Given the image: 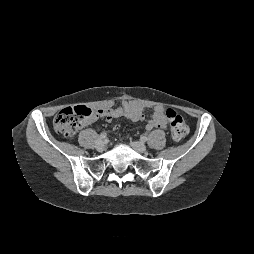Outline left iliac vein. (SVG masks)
I'll return each instance as SVG.
<instances>
[{"label":"left iliac vein","mask_w":254,"mask_h":254,"mask_svg":"<svg viewBox=\"0 0 254 254\" xmlns=\"http://www.w3.org/2000/svg\"><path fill=\"white\" fill-rule=\"evenodd\" d=\"M131 146L134 148V150H136L139 153H145L147 151L146 146L139 141H134L131 143Z\"/></svg>","instance_id":"4c4485c4"}]
</instances>
